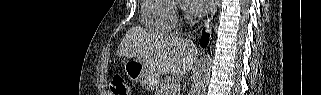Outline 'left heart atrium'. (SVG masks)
<instances>
[{"mask_svg": "<svg viewBox=\"0 0 321 95\" xmlns=\"http://www.w3.org/2000/svg\"><path fill=\"white\" fill-rule=\"evenodd\" d=\"M188 2L190 3L189 10L194 15H200L207 11L212 3L211 0H189Z\"/></svg>", "mask_w": 321, "mask_h": 95, "instance_id": "39dd6f15", "label": "left heart atrium"}]
</instances>
